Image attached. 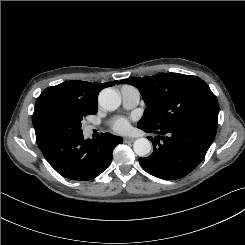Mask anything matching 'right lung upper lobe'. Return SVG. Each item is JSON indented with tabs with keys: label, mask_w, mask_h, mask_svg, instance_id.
Wrapping results in <instances>:
<instances>
[{
	"label": "right lung upper lobe",
	"mask_w": 245,
	"mask_h": 245,
	"mask_svg": "<svg viewBox=\"0 0 245 245\" xmlns=\"http://www.w3.org/2000/svg\"><path fill=\"white\" fill-rule=\"evenodd\" d=\"M117 81H111L107 83H90L86 81L72 80L63 82L59 85L48 87L45 90H57L65 93L70 98L83 103L89 107H97V99L99 92L109 86H114ZM39 148L45 149L49 143L37 138Z\"/></svg>",
	"instance_id": "obj_1"
}]
</instances>
